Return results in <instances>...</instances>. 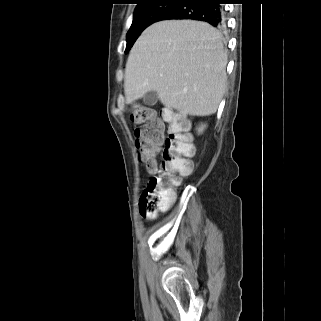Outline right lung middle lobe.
Instances as JSON below:
<instances>
[{
    "instance_id": "obj_1",
    "label": "right lung middle lobe",
    "mask_w": 321,
    "mask_h": 321,
    "mask_svg": "<svg viewBox=\"0 0 321 321\" xmlns=\"http://www.w3.org/2000/svg\"><path fill=\"white\" fill-rule=\"evenodd\" d=\"M177 4L176 0H152L137 5L134 12L132 25L127 33V53L140 34L151 24L158 21V18L166 11Z\"/></svg>"
}]
</instances>
